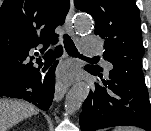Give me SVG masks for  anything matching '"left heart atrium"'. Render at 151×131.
<instances>
[{"mask_svg":"<svg viewBox=\"0 0 151 131\" xmlns=\"http://www.w3.org/2000/svg\"><path fill=\"white\" fill-rule=\"evenodd\" d=\"M59 78L62 82H67L71 78V74L68 70L63 69L59 73Z\"/></svg>","mask_w":151,"mask_h":131,"instance_id":"39dd6f15","label":"left heart atrium"}]
</instances>
